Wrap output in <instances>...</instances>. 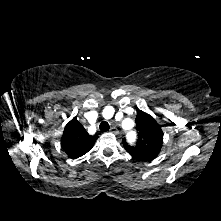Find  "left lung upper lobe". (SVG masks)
<instances>
[{
    "mask_svg": "<svg viewBox=\"0 0 221 221\" xmlns=\"http://www.w3.org/2000/svg\"><path fill=\"white\" fill-rule=\"evenodd\" d=\"M138 141L135 146H129L125 139L123 144L126 151L133 157L149 161L157 157L163 143V132L154 118L139 110L136 117Z\"/></svg>",
    "mask_w": 221,
    "mask_h": 221,
    "instance_id": "left-lung-upper-lobe-1",
    "label": "left lung upper lobe"
}]
</instances>
